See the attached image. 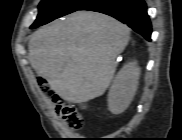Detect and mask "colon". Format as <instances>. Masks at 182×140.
I'll use <instances>...</instances> for the list:
<instances>
[{
    "instance_id": "5ec220e1",
    "label": "colon",
    "mask_w": 182,
    "mask_h": 140,
    "mask_svg": "<svg viewBox=\"0 0 182 140\" xmlns=\"http://www.w3.org/2000/svg\"><path fill=\"white\" fill-rule=\"evenodd\" d=\"M42 91L47 96H52L53 92L43 80H40ZM56 110L58 115L64 119L67 125L72 129H78L82 125V117L78 109L73 105L65 104L60 100H56Z\"/></svg>"
}]
</instances>
